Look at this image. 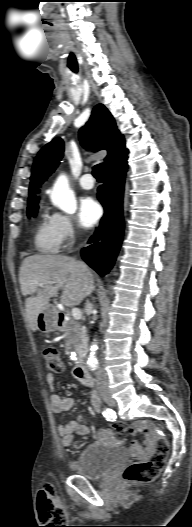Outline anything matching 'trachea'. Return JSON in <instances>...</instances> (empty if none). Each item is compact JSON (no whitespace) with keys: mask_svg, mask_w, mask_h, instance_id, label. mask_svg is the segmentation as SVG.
Returning <instances> with one entry per match:
<instances>
[{"mask_svg":"<svg viewBox=\"0 0 192 527\" xmlns=\"http://www.w3.org/2000/svg\"><path fill=\"white\" fill-rule=\"evenodd\" d=\"M93 176L98 180H103V164H97L93 167Z\"/></svg>","mask_w":192,"mask_h":527,"instance_id":"obj_1","label":"trachea"}]
</instances>
